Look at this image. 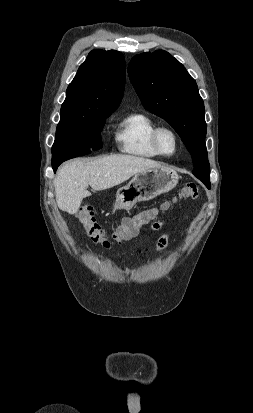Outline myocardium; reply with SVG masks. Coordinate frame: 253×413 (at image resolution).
Wrapping results in <instances>:
<instances>
[{
    "label": "myocardium",
    "instance_id": "myocardium-1",
    "mask_svg": "<svg viewBox=\"0 0 253 413\" xmlns=\"http://www.w3.org/2000/svg\"><path fill=\"white\" fill-rule=\"evenodd\" d=\"M163 131L169 132V133L173 136V138H174V140H175V149H174L173 153H171V154H166V153H164V152L162 151L161 147H160V144H159V136H160V134H161ZM150 139H151V144H152L154 150H155L160 156H163V157H172V156H174V155L178 152L179 147H180V138H179V135L177 134V132H176L172 127L167 126V125H158V126H156V127L153 129L152 133H151Z\"/></svg>",
    "mask_w": 253,
    "mask_h": 413
}]
</instances>
